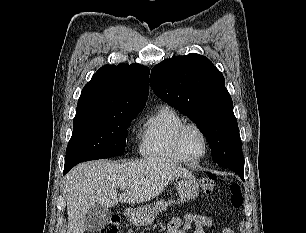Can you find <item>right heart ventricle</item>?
I'll list each match as a JSON object with an SVG mask.
<instances>
[{"instance_id": "e07e8e85", "label": "right heart ventricle", "mask_w": 306, "mask_h": 233, "mask_svg": "<svg viewBox=\"0 0 306 233\" xmlns=\"http://www.w3.org/2000/svg\"><path fill=\"white\" fill-rule=\"evenodd\" d=\"M184 123L183 118L171 107L163 105L149 115L141 127L140 152L149 159L179 163L174 136Z\"/></svg>"}]
</instances>
